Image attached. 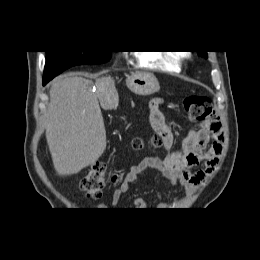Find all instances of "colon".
<instances>
[{
    "mask_svg": "<svg viewBox=\"0 0 260 260\" xmlns=\"http://www.w3.org/2000/svg\"><path fill=\"white\" fill-rule=\"evenodd\" d=\"M183 105L189 119L193 121H204L214 117L211 101L205 96H188L184 99ZM155 146L164 144L163 137L157 134L152 139ZM142 142L136 140L134 146L142 147ZM107 166L105 162L98 161L93 164L86 175L80 181V189L90 198H98L106 188ZM116 178V176L114 177Z\"/></svg>",
    "mask_w": 260,
    "mask_h": 260,
    "instance_id": "1",
    "label": "colon"
}]
</instances>
